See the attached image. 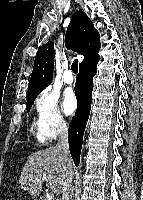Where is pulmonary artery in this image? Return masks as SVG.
<instances>
[{
  "label": "pulmonary artery",
  "instance_id": "e3ab8cb5",
  "mask_svg": "<svg viewBox=\"0 0 143 200\" xmlns=\"http://www.w3.org/2000/svg\"><path fill=\"white\" fill-rule=\"evenodd\" d=\"M63 81L66 84H72L74 82V77H73L72 72L70 70L66 71V73L63 77Z\"/></svg>",
  "mask_w": 143,
  "mask_h": 200
}]
</instances>
